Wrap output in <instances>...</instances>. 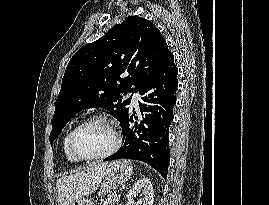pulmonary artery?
<instances>
[{"label":"pulmonary artery","mask_w":269,"mask_h":205,"mask_svg":"<svg viewBox=\"0 0 269 205\" xmlns=\"http://www.w3.org/2000/svg\"><path fill=\"white\" fill-rule=\"evenodd\" d=\"M132 96V105L137 106L138 105V100L140 98L139 94L137 92L130 93Z\"/></svg>","instance_id":"pulmonary-artery-1"}]
</instances>
